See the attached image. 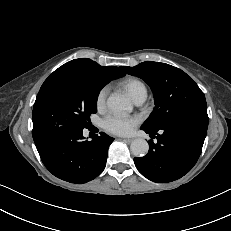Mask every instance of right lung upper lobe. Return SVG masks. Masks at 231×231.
Segmentation results:
<instances>
[{
    "instance_id": "cb5924a9",
    "label": "right lung upper lobe",
    "mask_w": 231,
    "mask_h": 231,
    "mask_svg": "<svg viewBox=\"0 0 231 231\" xmlns=\"http://www.w3.org/2000/svg\"><path fill=\"white\" fill-rule=\"evenodd\" d=\"M84 71L97 73L100 76L109 79L110 81L112 79L125 75L121 67L120 68L116 66L104 67V66H100L98 63L92 61L91 59L81 58V59H74L72 61L65 63L57 70H55L49 77L62 73L84 72Z\"/></svg>"
}]
</instances>
